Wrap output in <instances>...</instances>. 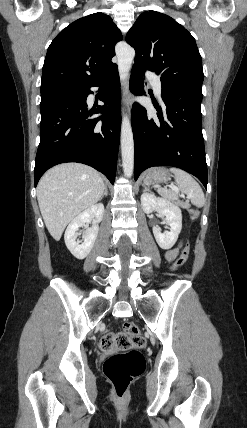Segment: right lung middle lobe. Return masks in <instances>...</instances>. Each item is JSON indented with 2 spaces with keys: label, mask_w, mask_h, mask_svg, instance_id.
Returning a JSON list of instances; mask_svg holds the SVG:
<instances>
[{
  "label": "right lung middle lobe",
  "mask_w": 247,
  "mask_h": 428,
  "mask_svg": "<svg viewBox=\"0 0 247 428\" xmlns=\"http://www.w3.org/2000/svg\"><path fill=\"white\" fill-rule=\"evenodd\" d=\"M82 91H83V89H65V90H59V91H55V92L41 94V99L47 98V97H52V96L79 94V93H82Z\"/></svg>",
  "instance_id": "obj_1"
}]
</instances>
